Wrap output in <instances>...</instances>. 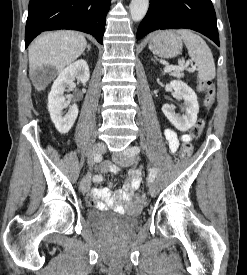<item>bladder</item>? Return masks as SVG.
Masks as SVG:
<instances>
[{"mask_svg": "<svg viewBox=\"0 0 247 275\" xmlns=\"http://www.w3.org/2000/svg\"><path fill=\"white\" fill-rule=\"evenodd\" d=\"M109 215H112V212L106 209L90 210L88 212V221L95 226L116 225L126 229L132 228L138 223V212L130 211L124 213L120 219L109 218Z\"/></svg>", "mask_w": 247, "mask_h": 275, "instance_id": "31cf9c89", "label": "bladder"}]
</instances>
